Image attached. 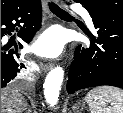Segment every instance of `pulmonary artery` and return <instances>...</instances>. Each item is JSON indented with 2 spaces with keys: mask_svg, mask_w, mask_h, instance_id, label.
Masks as SVG:
<instances>
[{
  "mask_svg": "<svg viewBox=\"0 0 123 113\" xmlns=\"http://www.w3.org/2000/svg\"><path fill=\"white\" fill-rule=\"evenodd\" d=\"M76 10L81 14V16L84 18V20L86 21V23L93 27V22H92V18L90 17L89 13L82 8L76 7Z\"/></svg>",
  "mask_w": 123,
  "mask_h": 113,
  "instance_id": "1",
  "label": "pulmonary artery"
}]
</instances>
